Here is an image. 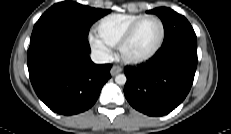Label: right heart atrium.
I'll use <instances>...</instances> for the list:
<instances>
[{"instance_id": "1", "label": "right heart atrium", "mask_w": 231, "mask_h": 134, "mask_svg": "<svg viewBox=\"0 0 231 134\" xmlns=\"http://www.w3.org/2000/svg\"><path fill=\"white\" fill-rule=\"evenodd\" d=\"M88 43L98 60L107 62L112 58V47L103 41L97 34L92 32L89 33Z\"/></svg>"}]
</instances>
